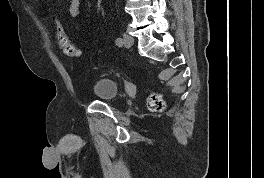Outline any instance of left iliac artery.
Segmentation results:
<instances>
[{"instance_id":"44dca946","label":"left iliac artery","mask_w":264,"mask_h":178,"mask_svg":"<svg viewBox=\"0 0 264 178\" xmlns=\"http://www.w3.org/2000/svg\"><path fill=\"white\" fill-rule=\"evenodd\" d=\"M116 45H117V46H122V45H123V40H122V38L119 37V38L116 39Z\"/></svg>"}]
</instances>
